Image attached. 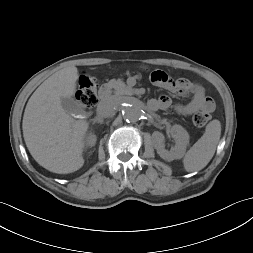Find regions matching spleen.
<instances>
[{
	"mask_svg": "<svg viewBox=\"0 0 253 253\" xmlns=\"http://www.w3.org/2000/svg\"><path fill=\"white\" fill-rule=\"evenodd\" d=\"M220 136L221 123L219 120H212L207 124L203 136L185 154L183 164L187 172L206 167L215 154Z\"/></svg>",
	"mask_w": 253,
	"mask_h": 253,
	"instance_id": "obj_1",
	"label": "spleen"
}]
</instances>
